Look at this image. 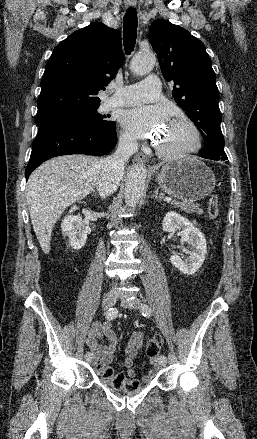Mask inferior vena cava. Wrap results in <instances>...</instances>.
<instances>
[{"mask_svg":"<svg viewBox=\"0 0 257 439\" xmlns=\"http://www.w3.org/2000/svg\"><path fill=\"white\" fill-rule=\"evenodd\" d=\"M137 149L138 144L135 139L122 137L115 153L101 161V171L96 184L101 198H106L117 190L125 162Z\"/></svg>","mask_w":257,"mask_h":439,"instance_id":"602c4592","label":"inferior vena cava"}]
</instances>
